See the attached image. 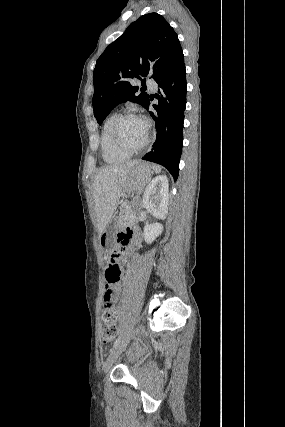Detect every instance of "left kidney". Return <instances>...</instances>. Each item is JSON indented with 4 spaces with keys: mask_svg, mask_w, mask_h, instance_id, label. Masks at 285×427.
Segmentation results:
<instances>
[{
    "mask_svg": "<svg viewBox=\"0 0 285 427\" xmlns=\"http://www.w3.org/2000/svg\"><path fill=\"white\" fill-rule=\"evenodd\" d=\"M169 184L165 175L156 176L146 187L142 206L158 219H165L168 213ZM163 231L160 223L148 224L144 227V240L151 244Z\"/></svg>",
    "mask_w": 285,
    "mask_h": 427,
    "instance_id": "1",
    "label": "left kidney"
}]
</instances>
